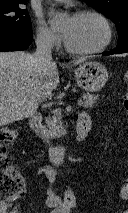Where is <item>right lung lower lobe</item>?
<instances>
[{
	"instance_id": "right-lung-lower-lobe-1",
	"label": "right lung lower lobe",
	"mask_w": 128,
	"mask_h": 213,
	"mask_svg": "<svg viewBox=\"0 0 128 213\" xmlns=\"http://www.w3.org/2000/svg\"><path fill=\"white\" fill-rule=\"evenodd\" d=\"M30 35H0V52L25 50L31 44Z\"/></svg>"
}]
</instances>
